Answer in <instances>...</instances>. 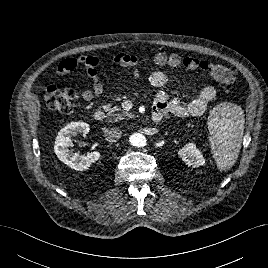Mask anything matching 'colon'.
Instances as JSON below:
<instances>
[{"label": "colon", "mask_w": 268, "mask_h": 268, "mask_svg": "<svg viewBox=\"0 0 268 268\" xmlns=\"http://www.w3.org/2000/svg\"><path fill=\"white\" fill-rule=\"evenodd\" d=\"M154 62L158 67L176 68L183 66L189 71H203L225 85L232 84L235 80V75L229 68L194 57H181L177 54H158ZM125 65L126 62L122 63V66ZM75 98L76 92L71 88H67L58 93H48L46 103L48 108L52 110L68 113L73 108Z\"/></svg>", "instance_id": "5ec220e1"}]
</instances>
